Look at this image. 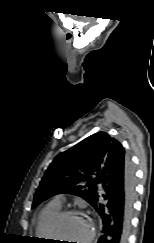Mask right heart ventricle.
Returning a JSON list of instances; mask_svg holds the SVG:
<instances>
[{
    "label": "right heart ventricle",
    "mask_w": 154,
    "mask_h": 243,
    "mask_svg": "<svg viewBox=\"0 0 154 243\" xmlns=\"http://www.w3.org/2000/svg\"><path fill=\"white\" fill-rule=\"evenodd\" d=\"M61 211V204L55 201L47 204L40 212L36 223V234L42 239H51L49 225L51 220Z\"/></svg>",
    "instance_id": "e07e8e85"
}]
</instances>
